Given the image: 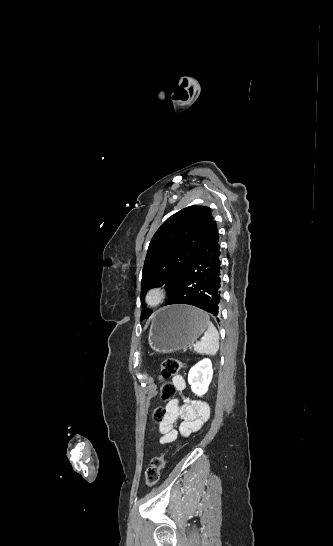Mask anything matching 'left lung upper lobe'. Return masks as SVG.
I'll return each mask as SVG.
<instances>
[{
    "instance_id": "5c2ea615",
    "label": "left lung upper lobe",
    "mask_w": 333,
    "mask_h": 546,
    "mask_svg": "<svg viewBox=\"0 0 333 546\" xmlns=\"http://www.w3.org/2000/svg\"><path fill=\"white\" fill-rule=\"evenodd\" d=\"M214 222L211 209L205 206H190L169 217L149 244L143 267L142 292L145 294L153 287L165 285L170 297Z\"/></svg>"
}]
</instances>
